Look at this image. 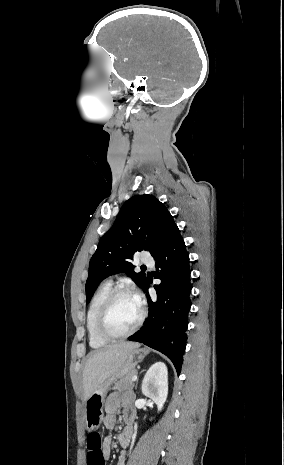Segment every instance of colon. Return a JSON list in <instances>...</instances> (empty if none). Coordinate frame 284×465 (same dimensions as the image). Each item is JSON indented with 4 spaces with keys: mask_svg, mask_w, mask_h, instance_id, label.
I'll use <instances>...</instances> for the list:
<instances>
[{
    "mask_svg": "<svg viewBox=\"0 0 284 465\" xmlns=\"http://www.w3.org/2000/svg\"><path fill=\"white\" fill-rule=\"evenodd\" d=\"M89 446L86 448L89 465H104L103 452L100 451L101 440L93 435L88 438Z\"/></svg>",
    "mask_w": 284,
    "mask_h": 465,
    "instance_id": "1",
    "label": "colon"
}]
</instances>
